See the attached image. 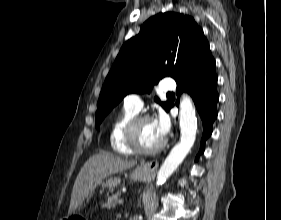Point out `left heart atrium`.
I'll use <instances>...</instances> for the list:
<instances>
[{"label":"left heart atrium","mask_w":281,"mask_h":220,"mask_svg":"<svg viewBox=\"0 0 281 220\" xmlns=\"http://www.w3.org/2000/svg\"><path fill=\"white\" fill-rule=\"evenodd\" d=\"M154 124L156 126L157 132L161 139L163 140L169 132L170 124L166 115L160 114L155 120Z\"/></svg>","instance_id":"1"}]
</instances>
